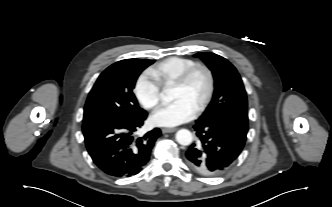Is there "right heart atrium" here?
Listing matches in <instances>:
<instances>
[{"label":"right heart atrium","mask_w":332,"mask_h":207,"mask_svg":"<svg viewBox=\"0 0 332 207\" xmlns=\"http://www.w3.org/2000/svg\"><path fill=\"white\" fill-rule=\"evenodd\" d=\"M134 91L145 109L153 110L159 105L161 99L160 84L149 72H144L138 77Z\"/></svg>","instance_id":"1"}]
</instances>
